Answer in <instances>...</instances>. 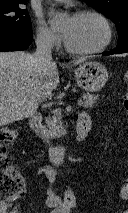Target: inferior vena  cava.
Here are the masks:
<instances>
[{"instance_id": "602c4592", "label": "inferior vena cava", "mask_w": 128, "mask_h": 213, "mask_svg": "<svg viewBox=\"0 0 128 213\" xmlns=\"http://www.w3.org/2000/svg\"><path fill=\"white\" fill-rule=\"evenodd\" d=\"M36 45L35 61L46 71L47 67L52 64V40L49 36L41 35L37 37Z\"/></svg>"}]
</instances>
